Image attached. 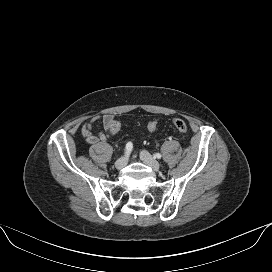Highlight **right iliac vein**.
I'll list each match as a JSON object with an SVG mask.
<instances>
[{"instance_id":"1","label":"right iliac vein","mask_w":272,"mask_h":272,"mask_svg":"<svg viewBox=\"0 0 272 272\" xmlns=\"http://www.w3.org/2000/svg\"><path fill=\"white\" fill-rule=\"evenodd\" d=\"M127 161H128V158L126 156L117 159L115 162L116 169L120 170V169L124 168L127 164Z\"/></svg>"}]
</instances>
